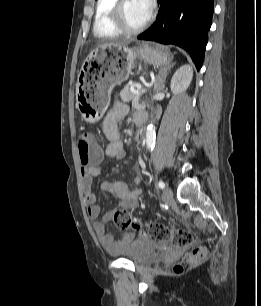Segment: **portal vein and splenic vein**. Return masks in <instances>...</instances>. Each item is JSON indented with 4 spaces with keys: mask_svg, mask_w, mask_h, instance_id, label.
<instances>
[{
    "mask_svg": "<svg viewBox=\"0 0 261 306\" xmlns=\"http://www.w3.org/2000/svg\"><path fill=\"white\" fill-rule=\"evenodd\" d=\"M151 86V84H148L147 85V87H150ZM140 91L142 92V93H144V92H146V89H143L142 88V86L139 84L138 86H137V92H136V94H137V97H135L134 99H133V101H132V106L133 107H137L138 106V100H139V94H140Z\"/></svg>",
    "mask_w": 261,
    "mask_h": 306,
    "instance_id": "obj_1",
    "label": "portal vein and splenic vein"
}]
</instances>
